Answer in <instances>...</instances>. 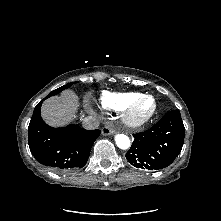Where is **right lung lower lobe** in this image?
I'll return each instance as SVG.
<instances>
[{
  "label": "right lung lower lobe",
  "instance_id": "right-lung-lower-lobe-1",
  "mask_svg": "<svg viewBox=\"0 0 221 221\" xmlns=\"http://www.w3.org/2000/svg\"><path fill=\"white\" fill-rule=\"evenodd\" d=\"M45 97L43 100L47 99ZM42 101L35 107L29 127L28 144L35 159L57 171L82 168L100 130H85L77 125L66 128L48 126L41 118Z\"/></svg>",
  "mask_w": 221,
  "mask_h": 221
}]
</instances>
